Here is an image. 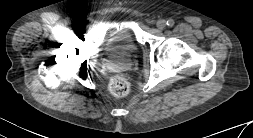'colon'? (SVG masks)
<instances>
[{
  "mask_svg": "<svg viewBox=\"0 0 253 138\" xmlns=\"http://www.w3.org/2000/svg\"><path fill=\"white\" fill-rule=\"evenodd\" d=\"M110 92L116 97H124L130 91L128 80L122 75H115L109 83Z\"/></svg>",
  "mask_w": 253,
  "mask_h": 138,
  "instance_id": "1",
  "label": "colon"
}]
</instances>
